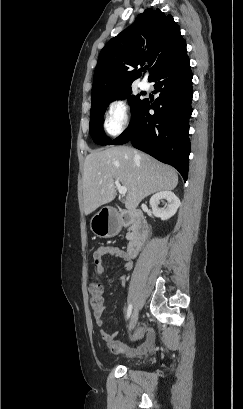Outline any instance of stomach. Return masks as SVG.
<instances>
[{
	"mask_svg": "<svg viewBox=\"0 0 243 409\" xmlns=\"http://www.w3.org/2000/svg\"><path fill=\"white\" fill-rule=\"evenodd\" d=\"M102 212L97 213L91 220V230L94 234L102 238H108L115 234V231L108 223V219L101 215Z\"/></svg>",
	"mask_w": 243,
	"mask_h": 409,
	"instance_id": "obj_1",
	"label": "stomach"
}]
</instances>
